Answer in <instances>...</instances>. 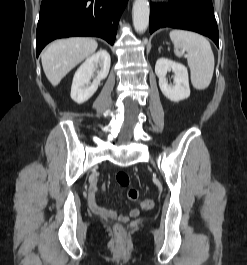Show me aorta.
Masks as SVG:
<instances>
[{"mask_svg": "<svg viewBox=\"0 0 247 265\" xmlns=\"http://www.w3.org/2000/svg\"><path fill=\"white\" fill-rule=\"evenodd\" d=\"M132 18L135 30L139 33L145 32L149 24L148 0H135Z\"/></svg>", "mask_w": 247, "mask_h": 265, "instance_id": "obj_1", "label": "aorta"}]
</instances>
